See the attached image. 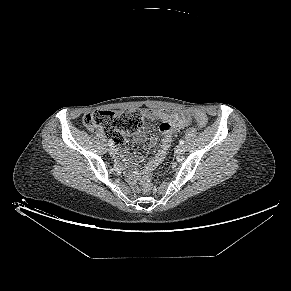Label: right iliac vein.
<instances>
[{
  "label": "right iliac vein",
  "mask_w": 291,
  "mask_h": 291,
  "mask_svg": "<svg viewBox=\"0 0 291 291\" xmlns=\"http://www.w3.org/2000/svg\"><path fill=\"white\" fill-rule=\"evenodd\" d=\"M109 153H110L111 155L116 154V148H115V147H110V148H109Z\"/></svg>",
  "instance_id": "obj_1"
}]
</instances>
